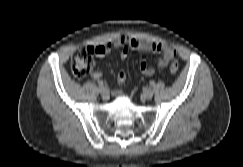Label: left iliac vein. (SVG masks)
I'll list each match as a JSON object with an SVG mask.
<instances>
[{
    "label": "left iliac vein",
    "mask_w": 243,
    "mask_h": 167,
    "mask_svg": "<svg viewBox=\"0 0 243 167\" xmlns=\"http://www.w3.org/2000/svg\"><path fill=\"white\" fill-rule=\"evenodd\" d=\"M153 91L150 88H146L142 92V97L145 99H151L153 97Z\"/></svg>",
    "instance_id": "4c4485c4"
}]
</instances>
